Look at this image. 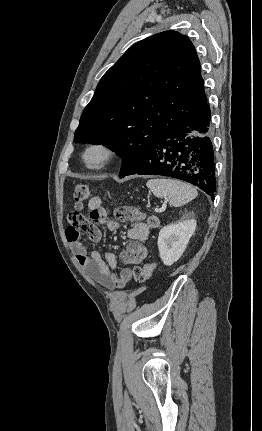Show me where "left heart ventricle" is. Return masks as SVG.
I'll list each match as a JSON object with an SVG mask.
<instances>
[{"label": "left heart ventricle", "instance_id": "left-heart-ventricle-1", "mask_svg": "<svg viewBox=\"0 0 262 431\" xmlns=\"http://www.w3.org/2000/svg\"><path fill=\"white\" fill-rule=\"evenodd\" d=\"M99 154L97 152H93L88 157V162L91 164L97 163L99 160Z\"/></svg>", "mask_w": 262, "mask_h": 431}]
</instances>
